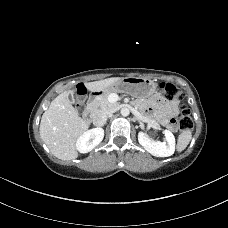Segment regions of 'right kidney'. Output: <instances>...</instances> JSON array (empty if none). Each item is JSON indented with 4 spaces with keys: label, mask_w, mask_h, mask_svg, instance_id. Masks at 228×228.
Wrapping results in <instances>:
<instances>
[{
    "label": "right kidney",
    "mask_w": 228,
    "mask_h": 228,
    "mask_svg": "<svg viewBox=\"0 0 228 228\" xmlns=\"http://www.w3.org/2000/svg\"><path fill=\"white\" fill-rule=\"evenodd\" d=\"M104 138V130L100 127L85 131L77 140L76 148L80 153L93 150Z\"/></svg>",
    "instance_id": "ca27d5eb"
}]
</instances>
